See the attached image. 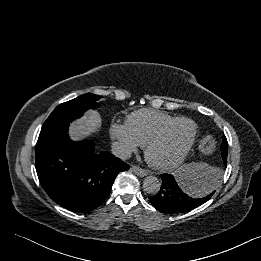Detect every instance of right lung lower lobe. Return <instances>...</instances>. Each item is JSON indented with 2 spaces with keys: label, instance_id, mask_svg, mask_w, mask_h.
Instances as JSON below:
<instances>
[{
  "label": "right lung lower lobe",
  "instance_id": "1",
  "mask_svg": "<svg viewBox=\"0 0 261 261\" xmlns=\"http://www.w3.org/2000/svg\"><path fill=\"white\" fill-rule=\"evenodd\" d=\"M70 121L43 125L36 144L37 175L57 204L89 212L109 195L117 174L130 166L109 152L95 153L89 140L72 141L68 136Z\"/></svg>",
  "mask_w": 261,
  "mask_h": 261
}]
</instances>
